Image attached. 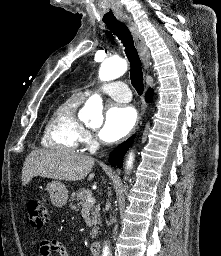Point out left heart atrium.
Here are the masks:
<instances>
[{
  "instance_id": "left-heart-atrium-1",
  "label": "left heart atrium",
  "mask_w": 221,
  "mask_h": 256,
  "mask_svg": "<svg viewBox=\"0 0 221 256\" xmlns=\"http://www.w3.org/2000/svg\"><path fill=\"white\" fill-rule=\"evenodd\" d=\"M136 122V113L124 105H110L104 116V123L99 130V138L107 143L115 142L127 135Z\"/></svg>"
}]
</instances>
